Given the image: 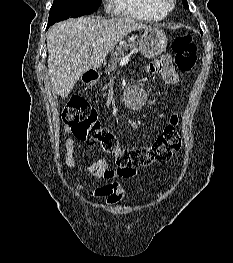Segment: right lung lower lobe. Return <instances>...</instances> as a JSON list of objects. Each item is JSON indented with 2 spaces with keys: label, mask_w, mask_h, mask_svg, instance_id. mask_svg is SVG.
<instances>
[{
  "label": "right lung lower lobe",
  "mask_w": 233,
  "mask_h": 263,
  "mask_svg": "<svg viewBox=\"0 0 233 263\" xmlns=\"http://www.w3.org/2000/svg\"><path fill=\"white\" fill-rule=\"evenodd\" d=\"M53 24H54V23H52V22H48L47 28H48L49 26L53 25Z\"/></svg>",
  "instance_id": "98d812e1"
}]
</instances>
